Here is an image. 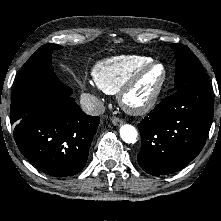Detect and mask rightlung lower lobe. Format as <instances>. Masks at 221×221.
<instances>
[{"instance_id":"98d812e1","label":"right lung lower lobe","mask_w":221,"mask_h":221,"mask_svg":"<svg viewBox=\"0 0 221 221\" xmlns=\"http://www.w3.org/2000/svg\"><path fill=\"white\" fill-rule=\"evenodd\" d=\"M72 89L44 82L12 96L10 116L20 152L44 173L72 176L86 164L99 117L82 112Z\"/></svg>"}]
</instances>
